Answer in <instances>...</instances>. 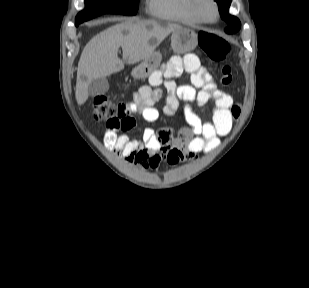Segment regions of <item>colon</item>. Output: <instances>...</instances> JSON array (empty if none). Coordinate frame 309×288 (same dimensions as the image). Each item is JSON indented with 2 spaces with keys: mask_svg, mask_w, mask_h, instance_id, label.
I'll return each instance as SVG.
<instances>
[{
  "mask_svg": "<svg viewBox=\"0 0 309 288\" xmlns=\"http://www.w3.org/2000/svg\"><path fill=\"white\" fill-rule=\"evenodd\" d=\"M198 42L203 53L211 60L219 63L221 85H229L232 81V68L229 65L223 64L229 51L227 42L220 36L209 31H200L198 33ZM231 112L232 116L238 119L241 113L240 106L234 105ZM93 116L99 121L128 122L132 125L135 122L134 117L127 112L123 104L114 103L103 94H99L94 98Z\"/></svg>",
  "mask_w": 309,
  "mask_h": 288,
  "instance_id": "5ec220e1",
  "label": "colon"
}]
</instances>
